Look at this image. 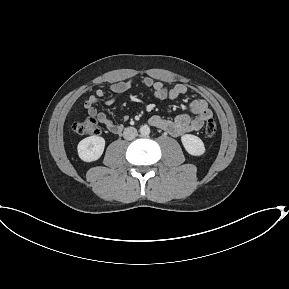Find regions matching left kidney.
<instances>
[{"label": "left kidney", "mask_w": 289, "mask_h": 289, "mask_svg": "<svg viewBox=\"0 0 289 289\" xmlns=\"http://www.w3.org/2000/svg\"><path fill=\"white\" fill-rule=\"evenodd\" d=\"M182 144L185 150L193 156H201L205 153L203 141L192 134H186L181 137Z\"/></svg>", "instance_id": "1"}]
</instances>
